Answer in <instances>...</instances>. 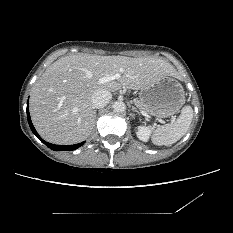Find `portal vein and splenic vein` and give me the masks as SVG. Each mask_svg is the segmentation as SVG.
I'll return each instance as SVG.
<instances>
[{
  "label": "portal vein and splenic vein",
  "instance_id": "18ae733b",
  "mask_svg": "<svg viewBox=\"0 0 233 233\" xmlns=\"http://www.w3.org/2000/svg\"><path fill=\"white\" fill-rule=\"evenodd\" d=\"M119 77H120L119 74H115V75H113V76H105V77H101V78L98 80V82H99L100 84H105V83H107V82H109V81L118 79ZM141 114H142L143 116H148L144 111H141Z\"/></svg>",
  "mask_w": 233,
  "mask_h": 233
}]
</instances>
